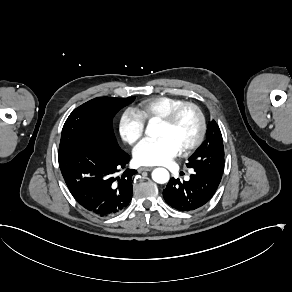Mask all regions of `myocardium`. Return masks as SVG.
I'll list each match as a JSON object with an SVG mask.
<instances>
[{
  "instance_id": "1",
  "label": "myocardium",
  "mask_w": 292,
  "mask_h": 292,
  "mask_svg": "<svg viewBox=\"0 0 292 292\" xmlns=\"http://www.w3.org/2000/svg\"><path fill=\"white\" fill-rule=\"evenodd\" d=\"M190 108L192 109L198 118V129L195 138L190 143L184 145L181 147L182 152H189L191 150L196 149L203 141L205 131H206V122L205 117L198 105L192 102H182L180 104H177L173 106L168 112H166L164 115H162L159 118V121L171 125L173 124L176 119L178 118L179 114L184 110Z\"/></svg>"
}]
</instances>
